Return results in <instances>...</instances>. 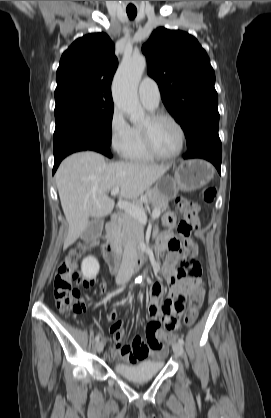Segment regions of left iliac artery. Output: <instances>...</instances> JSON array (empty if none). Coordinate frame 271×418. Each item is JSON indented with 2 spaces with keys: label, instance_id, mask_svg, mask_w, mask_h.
<instances>
[{
  "label": "left iliac artery",
  "instance_id": "obj_1",
  "mask_svg": "<svg viewBox=\"0 0 271 418\" xmlns=\"http://www.w3.org/2000/svg\"><path fill=\"white\" fill-rule=\"evenodd\" d=\"M178 342H179L181 345H183V344H184V340H183L182 338H179V339H178Z\"/></svg>",
  "mask_w": 271,
  "mask_h": 418
}]
</instances>
